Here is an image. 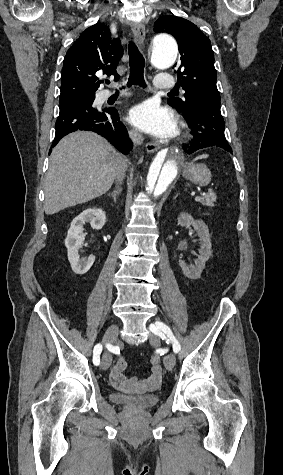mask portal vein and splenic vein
<instances>
[{"label":"portal vein and splenic vein","instance_id":"1","mask_svg":"<svg viewBox=\"0 0 283 475\" xmlns=\"http://www.w3.org/2000/svg\"><path fill=\"white\" fill-rule=\"evenodd\" d=\"M194 198H195V202H198V200H200V198H201V197H200V195H199V194H197V195H195V197H194Z\"/></svg>","mask_w":283,"mask_h":475}]
</instances>
